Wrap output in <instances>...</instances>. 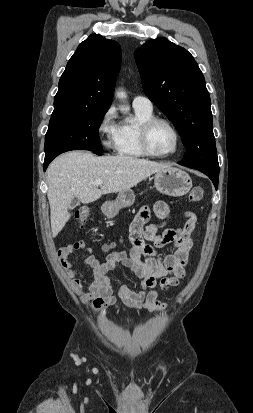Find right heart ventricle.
Segmentation results:
<instances>
[{
	"mask_svg": "<svg viewBox=\"0 0 253 413\" xmlns=\"http://www.w3.org/2000/svg\"><path fill=\"white\" fill-rule=\"evenodd\" d=\"M136 119L134 122L121 124V140L118 148L120 155L130 158H143L147 156L141 149L139 142V125L144 120L153 116V111L134 108Z\"/></svg>",
	"mask_w": 253,
	"mask_h": 413,
	"instance_id": "e07e8e85",
	"label": "right heart ventricle"
}]
</instances>
